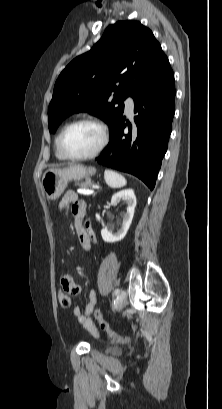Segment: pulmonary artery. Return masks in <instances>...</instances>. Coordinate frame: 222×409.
<instances>
[{"instance_id":"obj_1","label":"pulmonary artery","mask_w":222,"mask_h":409,"mask_svg":"<svg viewBox=\"0 0 222 409\" xmlns=\"http://www.w3.org/2000/svg\"><path fill=\"white\" fill-rule=\"evenodd\" d=\"M133 107H134L133 99L131 97H128L125 100V108L129 116L133 115Z\"/></svg>"}]
</instances>
